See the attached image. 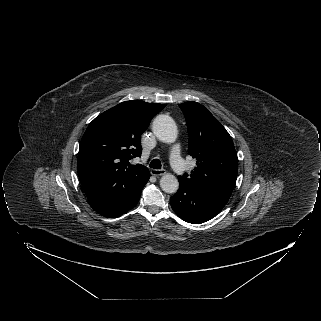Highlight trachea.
<instances>
[{
    "label": "trachea",
    "mask_w": 321,
    "mask_h": 321,
    "mask_svg": "<svg viewBox=\"0 0 321 321\" xmlns=\"http://www.w3.org/2000/svg\"><path fill=\"white\" fill-rule=\"evenodd\" d=\"M149 167L154 168V169H161L162 164L159 159H154L150 162Z\"/></svg>",
    "instance_id": "1"
}]
</instances>
